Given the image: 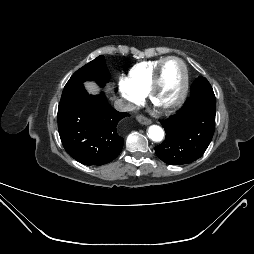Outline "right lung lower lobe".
Returning a JSON list of instances; mask_svg holds the SVG:
<instances>
[{
    "instance_id": "1",
    "label": "right lung lower lobe",
    "mask_w": 254,
    "mask_h": 254,
    "mask_svg": "<svg viewBox=\"0 0 254 254\" xmlns=\"http://www.w3.org/2000/svg\"><path fill=\"white\" fill-rule=\"evenodd\" d=\"M126 116L113 109L103 93L89 95L83 83L65 86L57 115L63 147L84 165L109 163L122 150L118 124Z\"/></svg>"
}]
</instances>
